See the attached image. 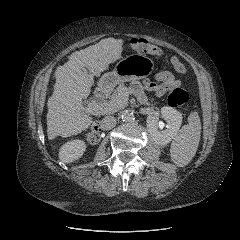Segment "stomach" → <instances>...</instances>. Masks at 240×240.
Segmentation results:
<instances>
[{
  "label": "stomach",
  "instance_id": "obj_1",
  "mask_svg": "<svg viewBox=\"0 0 240 240\" xmlns=\"http://www.w3.org/2000/svg\"><path fill=\"white\" fill-rule=\"evenodd\" d=\"M154 70V62L146 55L132 54L121 59L112 72L105 73L99 82L102 88H112L124 81L142 79Z\"/></svg>",
  "mask_w": 240,
  "mask_h": 240
}]
</instances>
